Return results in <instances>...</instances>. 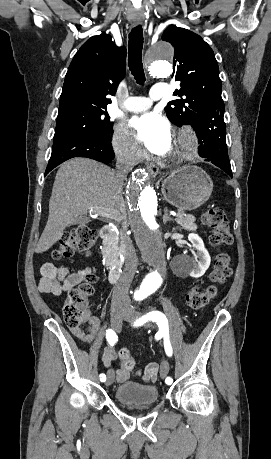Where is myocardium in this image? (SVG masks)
Listing matches in <instances>:
<instances>
[{
    "label": "myocardium",
    "instance_id": "myocardium-1",
    "mask_svg": "<svg viewBox=\"0 0 271 459\" xmlns=\"http://www.w3.org/2000/svg\"><path fill=\"white\" fill-rule=\"evenodd\" d=\"M177 152H178L177 144L174 141H171L170 148L166 152H163L160 156L163 158H171L175 156Z\"/></svg>",
    "mask_w": 271,
    "mask_h": 459
}]
</instances>
